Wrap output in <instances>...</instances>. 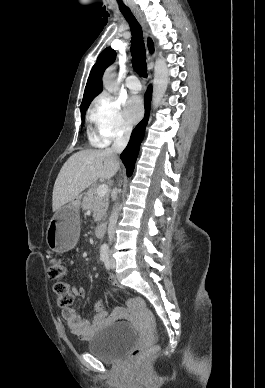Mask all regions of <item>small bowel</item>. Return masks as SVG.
<instances>
[{
	"label": "small bowel",
	"mask_w": 265,
	"mask_h": 388,
	"mask_svg": "<svg viewBox=\"0 0 265 388\" xmlns=\"http://www.w3.org/2000/svg\"><path fill=\"white\" fill-rule=\"evenodd\" d=\"M109 283L115 288H120L115 277L112 275L109 276ZM73 293L79 298L85 296V290L82 287L74 286ZM105 307L106 305L104 303H98L96 305V313L91 320L81 318L73 308H64L62 318L65 320L67 328L72 334L80 339L87 340L93 337L103 326L122 317L121 312L108 314Z\"/></svg>",
	"instance_id": "c3829d8e"
}]
</instances>
